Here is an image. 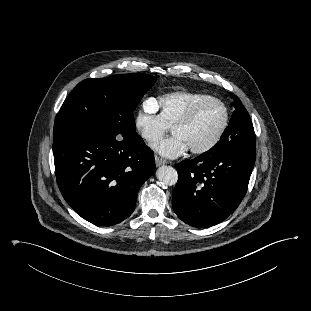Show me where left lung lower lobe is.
Masks as SVG:
<instances>
[{"label": "left lung lower lobe", "instance_id": "obj_1", "mask_svg": "<svg viewBox=\"0 0 311 311\" xmlns=\"http://www.w3.org/2000/svg\"><path fill=\"white\" fill-rule=\"evenodd\" d=\"M255 157V148L238 147L178 163L172 195L177 216L197 228L225 220L245 196Z\"/></svg>", "mask_w": 311, "mask_h": 311}]
</instances>
